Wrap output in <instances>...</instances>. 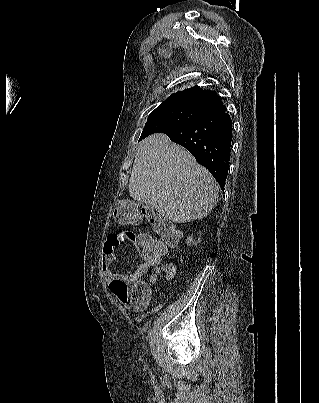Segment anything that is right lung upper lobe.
Returning a JSON list of instances; mask_svg holds the SVG:
<instances>
[{"label":"right lung upper lobe","instance_id":"1","mask_svg":"<svg viewBox=\"0 0 319 403\" xmlns=\"http://www.w3.org/2000/svg\"><path fill=\"white\" fill-rule=\"evenodd\" d=\"M174 102H190L199 104L212 111V114L224 112L225 105L221 98L211 90H203L199 87H192L184 91H178L176 94L169 96L162 104Z\"/></svg>","mask_w":319,"mask_h":403}]
</instances>
